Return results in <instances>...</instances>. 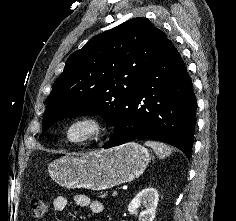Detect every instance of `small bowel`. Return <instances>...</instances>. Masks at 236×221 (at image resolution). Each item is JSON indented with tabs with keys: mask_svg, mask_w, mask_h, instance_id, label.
<instances>
[{
	"mask_svg": "<svg viewBox=\"0 0 236 221\" xmlns=\"http://www.w3.org/2000/svg\"><path fill=\"white\" fill-rule=\"evenodd\" d=\"M74 202L77 206L82 208H89L93 214H101L103 212V204L98 200H90L85 195H77L74 198ZM68 200L63 196H58L54 198L52 202L53 210L56 212H61L66 209Z\"/></svg>",
	"mask_w": 236,
	"mask_h": 221,
	"instance_id": "small-bowel-1",
	"label": "small bowel"
}]
</instances>
